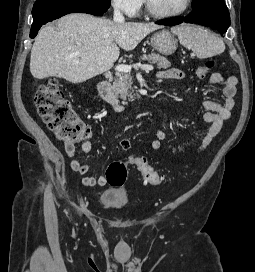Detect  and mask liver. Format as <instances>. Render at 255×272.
I'll use <instances>...</instances> for the list:
<instances>
[{"label": "liver", "mask_w": 255, "mask_h": 272, "mask_svg": "<svg viewBox=\"0 0 255 272\" xmlns=\"http://www.w3.org/2000/svg\"><path fill=\"white\" fill-rule=\"evenodd\" d=\"M159 28L153 23H116L85 13L65 15L56 28L40 29L31 50L30 72L39 80L59 77L82 83L111 69L120 48L135 49Z\"/></svg>", "instance_id": "liver-1"}]
</instances>
